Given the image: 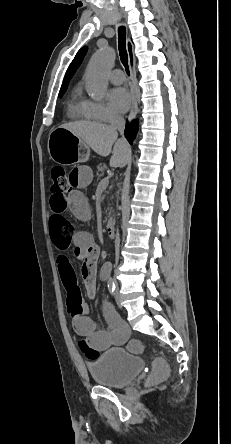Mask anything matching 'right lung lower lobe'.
<instances>
[{"label":"right lung lower lobe","mask_w":231,"mask_h":444,"mask_svg":"<svg viewBox=\"0 0 231 444\" xmlns=\"http://www.w3.org/2000/svg\"><path fill=\"white\" fill-rule=\"evenodd\" d=\"M137 131H138V123L136 121L126 124L125 136L130 143L133 142L135 135L137 134Z\"/></svg>","instance_id":"1"}]
</instances>
